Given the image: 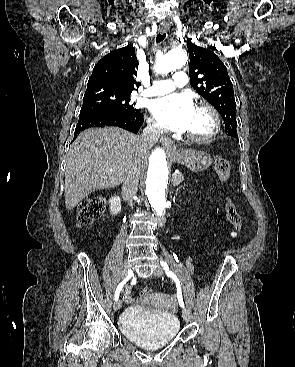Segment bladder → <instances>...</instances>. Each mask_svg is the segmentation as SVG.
<instances>
[{"label": "bladder", "mask_w": 295, "mask_h": 367, "mask_svg": "<svg viewBox=\"0 0 295 367\" xmlns=\"http://www.w3.org/2000/svg\"><path fill=\"white\" fill-rule=\"evenodd\" d=\"M153 313L145 306L128 307L119 321L124 336L145 348H158L170 343L180 329L177 317L169 312Z\"/></svg>", "instance_id": "bladder-1"}]
</instances>
